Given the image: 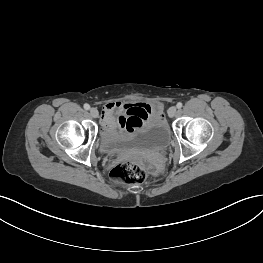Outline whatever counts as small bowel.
I'll return each instance as SVG.
<instances>
[{"label":"small bowel","mask_w":263,"mask_h":263,"mask_svg":"<svg viewBox=\"0 0 263 263\" xmlns=\"http://www.w3.org/2000/svg\"><path fill=\"white\" fill-rule=\"evenodd\" d=\"M152 109L145 103L110 102L103 107L102 124L106 132L132 134L148 119ZM155 163L162 165L164 157L157 155Z\"/></svg>","instance_id":"obj_1"}]
</instances>
